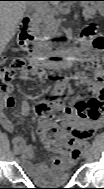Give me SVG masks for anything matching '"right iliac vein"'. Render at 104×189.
I'll list each match as a JSON object with an SVG mask.
<instances>
[{
	"instance_id": "63e3f726",
	"label": "right iliac vein",
	"mask_w": 104,
	"mask_h": 189,
	"mask_svg": "<svg viewBox=\"0 0 104 189\" xmlns=\"http://www.w3.org/2000/svg\"><path fill=\"white\" fill-rule=\"evenodd\" d=\"M13 151H14V154H15V155L20 154V149H19V147H17V146L14 147V150H13Z\"/></svg>"
}]
</instances>
